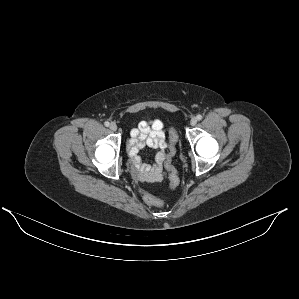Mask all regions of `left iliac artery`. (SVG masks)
Masks as SVG:
<instances>
[{"instance_id":"left-iliac-artery-1","label":"left iliac artery","mask_w":299,"mask_h":299,"mask_svg":"<svg viewBox=\"0 0 299 299\" xmlns=\"http://www.w3.org/2000/svg\"><path fill=\"white\" fill-rule=\"evenodd\" d=\"M197 119H198V120H201V119H202V115H200V114L197 115Z\"/></svg>"}]
</instances>
